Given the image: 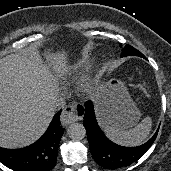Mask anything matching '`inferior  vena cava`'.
Instances as JSON below:
<instances>
[{
  "label": "inferior vena cava",
  "mask_w": 171,
  "mask_h": 171,
  "mask_svg": "<svg viewBox=\"0 0 171 171\" xmlns=\"http://www.w3.org/2000/svg\"><path fill=\"white\" fill-rule=\"evenodd\" d=\"M65 99L60 97L58 99H56L55 103H54V108L55 109H61V108H64L65 107Z\"/></svg>",
  "instance_id": "obj_1"
}]
</instances>
